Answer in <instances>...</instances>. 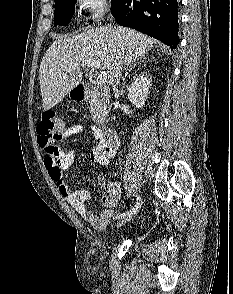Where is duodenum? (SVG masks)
<instances>
[{
    "instance_id": "410a0bca",
    "label": "duodenum",
    "mask_w": 233,
    "mask_h": 294,
    "mask_svg": "<svg viewBox=\"0 0 233 294\" xmlns=\"http://www.w3.org/2000/svg\"><path fill=\"white\" fill-rule=\"evenodd\" d=\"M73 93L76 100H84L88 94V89L85 85L80 84L75 87ZM102 137L109 145L117 146L119 143L118 134L111 128L103 129Z\"/></svg>"
}]
</instances>
